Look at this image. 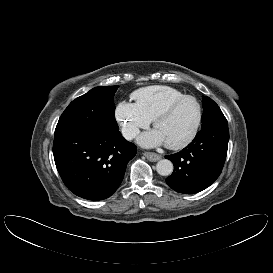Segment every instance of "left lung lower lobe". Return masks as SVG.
Instances as JSON below:
<instances>
[{
    "instance_id": "0a47b994",
    "label": "left lung lower lobe",
    "mask_w": 273,
    "mask_h": 273,
    "mask_svg": "<svg viewBox=\"0 0 273 273\" xmlns=\"http://www.w3.org/2000/svg\"><path fill=\"white\" fill-rule=\"evenodd\" d=\"M228 141V126L200 130L182 151L165 156L174 165L166 183L179 193H197L206 189L222 171Z\"/></svg>"
}]
</instances>
